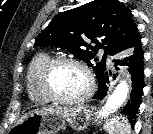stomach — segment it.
Segmentation results:
<instances>
[{"instance_id": "1", "label": "stomach", "mask_w": 153, "mask_h": 134, "mask_svg": "<svg viewBox=\"0 0 153 134\" xmlns=\"http://www.w3.org/2000/svg\"><path fill=\"white\" fill-rule=\"evenodd\" d=\"M94 107L42 108L23 114L11 129L12 134H57L69 124L74 130L87 128L94 114Z\"/></svg>"}]
</instances>
